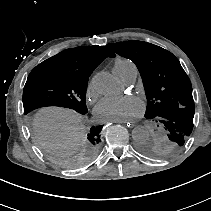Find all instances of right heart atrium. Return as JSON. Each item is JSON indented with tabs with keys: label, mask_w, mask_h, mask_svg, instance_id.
Returning a JSON list of instances; mask_svg holds the SVG:
<instances>
[{
	"label": "right heart atrium",
	"mask_w": 211,
	"mask_h": 211,
	"mask_svg": "<svg viewBox=\"0 0 211 211\" xmlns=\"http://www.w3.org/2000/svg\"><path fill=\"white\" fill-rule=\"evenodd\" d=\"M95 96V87L92 80H90L86 86V97L91 99Z\"/></svg>",
	"instance_id": "1"
}]
</instances>
